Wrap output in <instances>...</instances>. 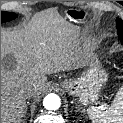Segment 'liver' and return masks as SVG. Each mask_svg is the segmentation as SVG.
Masks as SVG:
<instances>
[{"label": "liver", "mask_w": 123, "mask_h": 123, "mask_svg": "<svg viewBox=\"0 0 123 123\" xmlns=\"http://www.w3.org/2000/svg\"><path fill=\"white\" fill-rule=\"evenodd\" d=\"M81 65L74 27L55 10L38 14L22 28L1 29V123L23 121L27 85L38 96L46 75Z\"/></svg>", "instance_id": "6515ba94"}]
</instances>
